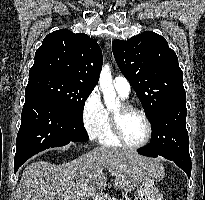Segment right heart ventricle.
Masks as SVG:
<instances>
[{
	"instance_id": "1",
	"label": "right heart ventricle",
	"mask_w": 205,
	"mask_h": 200,
	"mask_svg": "<svg viewBox=\"0 0 205 200\" xmlns=\"http://www.w3.org/2000/svg\"><path fill=\"white\" fill-rule=\"evenodd\" d=\"M106 113H107L106 125H105L101 135L98 138L99 143L103 146H106V147H112V148L120 147L121 144L115 138L113 131H112L110 112L106 110Z\"/></svg>"
}]
</instances>
